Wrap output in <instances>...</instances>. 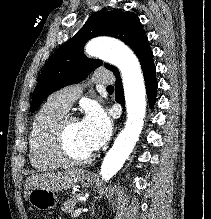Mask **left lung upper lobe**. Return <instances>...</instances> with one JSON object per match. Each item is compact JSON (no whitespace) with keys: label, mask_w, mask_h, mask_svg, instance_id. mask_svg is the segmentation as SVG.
<instances>
[{"label":"left lung upper lobe","mask_w":211,"mask_h":219,"mask_svg":"<svg viewBox=\"0 0 211 219\" xmlns=\"http://www.w3.org/2000/svg\"><path fill=\"white\" fill-rule=\"evenodd\" d=\"M102 35L120 39L134 52L147 38L138 16L132 12L114 9L94 13L80 31L48 60L33 93L32 112L37 110L48 95L66 85L82 81L102 65L101 60L89 59L83 53L84 45L89 39ZM104 65L113 73L117 71L110 64Z\"/></svg>","instance_id":"left-lung-upper-lobe-1"}]
</instances>
